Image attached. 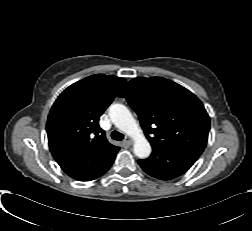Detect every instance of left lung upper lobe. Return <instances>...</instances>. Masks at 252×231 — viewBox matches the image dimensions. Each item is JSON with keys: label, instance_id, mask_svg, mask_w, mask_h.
Here are the masks:
<instances>
[{"label": "left lung upper lobe", "instance_id": "obj_1", "mask_svg": "<svg viewBox=\"0 0 252 231\" xmlns=\"http://www.w3.org/2000/svg\"><path fill=\"white\" fill-rule=\"evenodd\" d=\"M140 119L152 147H177L202 154L210 119L202 102L162 77L134 78L119 92Z\"/></svg>", "mask_w": 252, "mask_h": 231}]
</instances>
